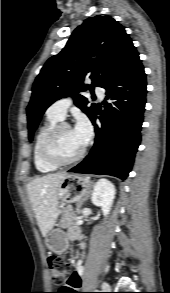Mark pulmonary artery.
I'll return each instance as SVG.
<instances>
[{
	"mask_svg": "<svg viewBox=\"0 0 170 293\" xmlns=\"http://www.w3.org/2000/svg\"><path fill=\"white\" fill-rule=\"evenodd\" d=\"M95 92L100 98H103L105 96V91L103 89H97ZM71 104L72 99L70 97L61 98L49 106L47 114L61 120L65 117L67 109Z\"/></svg>",
	"mask_w": 170,
	"mask_h": 293,
	"instance_id": "e3ab8cb5",
	"label": "pulmonary artery"
}]
</instances>
